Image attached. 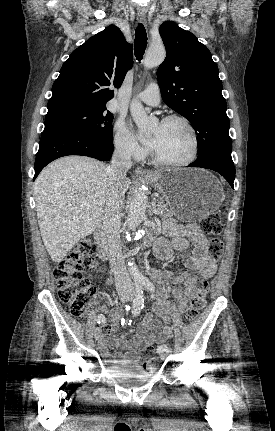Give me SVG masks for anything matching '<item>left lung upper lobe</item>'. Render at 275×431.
<instances>
[{"label":"left lung upper lobe","instance_id":"5c2ea615","mask_svg":"<svg viewBox=\"0 0 275 431\" xmlns=\"http://www.w3.org/2000/svg\"><path fill=\"white\" fill-rule=\"evenodd\" d=\"M159 31L167 53L157 71L162 99L192 123L197 159L231 153L226 100L210 51L175 22H164Z\"/></svg>","mask_w":275,"mask_h":431}]
</instances>
